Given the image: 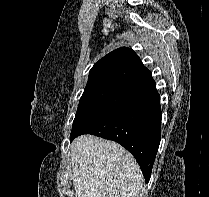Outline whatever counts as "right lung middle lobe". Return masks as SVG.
I'll list each match as a JSON object with an SVG mask.
<instances>
[{
    "instance_id": "1",
    "label": "right lung middle lobe",
    "mask_w": 209,
    "mask_h": 197,
    "mask_svg": "<svg viewBox=\"0 0 209 197\" xmlns=\"http://www.w3.org/2000/svg\"><path fill=\"white\" fill-rule=\"evenodd\" d=\"M138 93L135 89L117 83L88 82L79 101L71 133Z\"/></svg>"
}]
</instances>
